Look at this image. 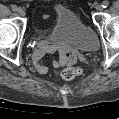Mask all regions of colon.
<instances>
[{
  "label": "colon",
  "instance_id": "1",
  "mask_svg": "<svg viewBox=\"0 0 119 119\" xmlns=\"http://www.w3.org/2000/svg\"><path fill=\"white\" fill-rule=\"evenodd\" d=\"M58 74L65 80H72L80 76L82 74V70L79 67L67 66L59 71Z\"/></svg>",
  "mask_w": 119,
  "mask_h": 119
}]
</instances>
